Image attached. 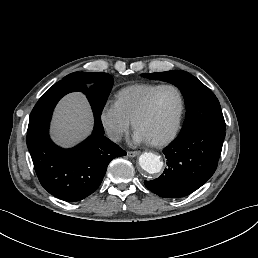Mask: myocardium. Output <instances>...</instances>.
Masks as SVG:
<instances>
[{"label": "myocardium", "instance_id": "obj_1", "mask_svg": "<svg viewBox=\"0 0 258 258\" xmlns=\"http://www.w3.org/2000/svg\"><path fill=\"white\" fill-rule=\"evenodd\" d=\"M166 88L173 89L177 93L178 99H179V111H178V116H177L175 127H174L173 131L171 132V134L165 138L155 139V138H150L147 136H142L139 132L140 123L148 115L150 107H151V103H152L153 98L156 95V93L159 92L160 90L166 89ZM183 109H184V102H183L182 94L175 86L170 85V84L158 86L148 96V98L144 104V107L142 108L141 112L138 114V116L136 117V119L134 121V131H135L136 136L152 145H166V144L170 143L176 137L177 132L180 128L182 115H183Z\"/></svg>", "mask_w": 258, "mask_h": 258}]
</instances>
